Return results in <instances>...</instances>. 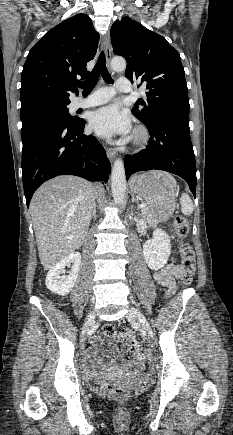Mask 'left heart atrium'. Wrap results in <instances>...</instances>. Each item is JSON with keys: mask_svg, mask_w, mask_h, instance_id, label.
<instances>
[{"mask_svg": "<svg viewBox=\"0 0 233 435\" xmlns=\"http://www.w3.org/2000/svg\"><path fill=\"white\" fill-rule=\"evenodd\" d=\"M90 127L106 138L121 136L130 132L129 115L117 105H107L94 111L89 118Z\"/></svg>", "mask_w": 233, "mask_h": 435, "instance_id": "1", "label": "left heart atrium"}]
</instances>
